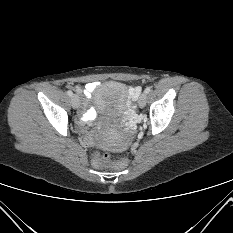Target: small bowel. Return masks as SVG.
<instances>
[{
	"label": "small bowel",
	"mask_w": 233,
	"mask_h": 233,
	"mask_svg": "<svg viewBox=\"0 0 233 233\" xmlns=\"http://www.w3.org/2000/svg\"><path fill=\"white\" fill-rule=\"evenodd\" d=\"M99 82L94 81V82H89L87 83L83 88L81 87H75V89L83 94L87 99H90L92 96V93L95 91V89L99 86ZM131 94L135 95L136 90L132 89ZM95 117V111L92 107H88L87 110L80 116V121L82 123H89L91 122Z\"/></svg>",
	"instance_id": "c3829d8e"
}]
</instances>
